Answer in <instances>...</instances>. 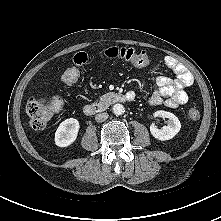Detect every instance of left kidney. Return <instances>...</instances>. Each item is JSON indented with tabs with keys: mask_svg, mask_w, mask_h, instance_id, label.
<instances>
[{
	"mask_svg": "<svg viewBox=\"0 0 221 221\" xmlns=\"http://www.w3.org/2000/svg\"><path fill=\"white\" fill-rule=\"evenodd\" d=\"M154 117H163L168 119V125L158 129L155 124L150 126V132L158 140L165 141L172 139L181 129L179 119L171 112L156 111Z\"/></svg>",
	"mask_w": 221,
	"mask_h": 221,
	"instance_id": "1",
	"label": "left kidney"
}]
</instances>
